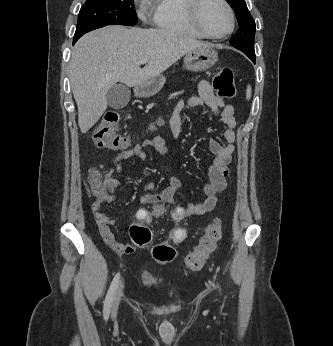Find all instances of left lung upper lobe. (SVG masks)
Wrapping results in <instances>:
<instances>
[{
	"instance_id": "5c2ea615",
	"label": "left lung upper lobe",
	"mask_w": 333,
	"mask_h": 346,
	"mask_svg": "<svg viewBox=\"0 0 333 346\" xmlns=\"http://www.w3.org/2000/svg\"><path fill=\"white\" fill-rule=\"evenodd\" d=\"M237 17L239 29L231 39V45L244 52L252 61H255L254 36L255 21L248 11L245 0H226Z\"/></svg>"
}]
</instances>
